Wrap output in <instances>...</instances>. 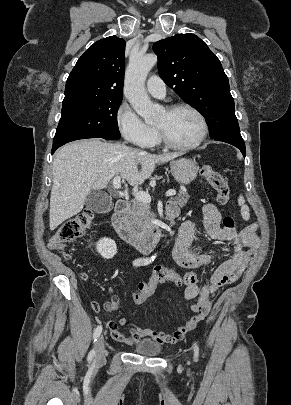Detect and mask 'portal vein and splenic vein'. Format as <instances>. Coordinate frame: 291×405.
<instances>
[{
    "label": "portal vein and splenic vein",
    "instance_id": "portal-vein-and-splenic-vein-1",
    "mask_svg": "<svg viewBox=\"0 0 291 405\" xmlns=\"http://www.w3.org/2000/svg\"><path fill=\"white\" fill-rule=\"evenodd\" d=\"M113 186L116 189H120L121 188V177L120 176H116L113 179ZM125 193H128L127 190H125ZM176 194V191L174 189H170L166 192V196L170 197V196H174ZM134 197L136 200L141 201L143 203H147L150 204L151 202V196L144 191H139L134 193Z\"/></svg>",
    "mask_w": 291,
    "mask_h": 405
}]
</instances>
